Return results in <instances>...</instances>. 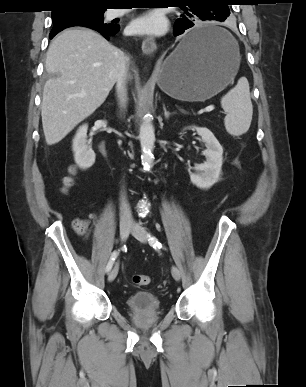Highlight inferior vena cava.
Returning a JSON list of instances; mask_svg holds the SVG:
<instances>
[{"mask_svg":"<svg viewBox=\"0 0 306 387\" xmlns=\"http://www.w3.org/2000/svg\"><path fill=\"white\" fill-rule=\"evenodd\" d=\"M127 58L125 57L122 69L118 74L117 80H116V92L120 101L121 107H125L127 102V91H126V81H127ZM132 214L130 211V207L125 200V197L121 199V205H120V221L121 222H132Z\"/></svg>","mask_w":306,"mask_h":387,"instance_id":"602c4592","label":"inferior vena cava"}]
</instances>
